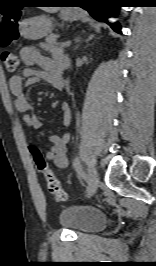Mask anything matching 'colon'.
Instances as JSON below:
<instances>
[{
	"mask_svg": "<svg viewBox=\"0 0 156 266\" xmlns=\"http://www.w3.org/2000/svg\"><path fill=\"white\" fill-rule=\"evenodd\" d=\"M19 18V11L4 17L0 22V43L2 45L9 44L18 38L17 20ZM2 60L6 69L10 72L15 71L19 65L18 56L10 51H5L2 54ZM33 155V160L37 170L45 177L47 182V190L52 194L58 202L67 200V194L62 189L60 181L55 176L52 169L47 164L45 158L40 151L35 147H30Z\"/></svg>",
	"mask_w": 156,
	"mask_h": 266,
	"instance_id": "1",
	"label": "colon"
}]
</instances>
